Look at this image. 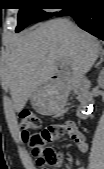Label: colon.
Listing matches in <instances>:
<instances>
[{"instance_id":"obj_1","label":"colon","mask_w":104,"mask_h":169,"mask_svg":"<svg viewBox=\"0 0 104 169\" xmlns=\"http://www.w3.org/2000/svg\"><path fill=\"white\" fill-rule=\"evenodd\" d=\"M40 124V118L34 112L27 111L20 115L22 137L32 149L37 168L55 169L59 165V154L48 143L63 137L66 130L63 124H53L39 132Z\"/></svg>"}]
</instances>
